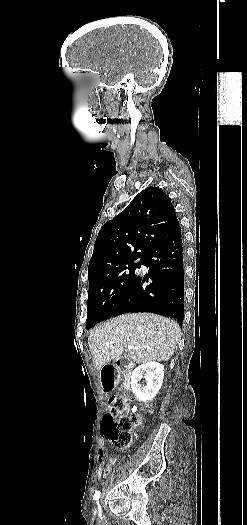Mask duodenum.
Here are the masks:
<instances>
[{
	"label": "duodenum",
	"mask_w": 247,
	"mask_h": 525,
	"mask_svg": "<svg viewBox=\"0 0 247 525\" xmlns=\"http://www.w3.org/2000/svg\"><path fill=\"white\" fill-rule=\"evenodd\" d=\"M117 373L122 374L124 387L129 389L132 374V364L124 358H119L110 363H107L101 369V384L105 392H111L116 386Z\"/></svg>",
	"instance_id": "obj_1"
}]
</instances>
